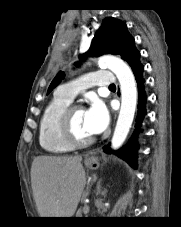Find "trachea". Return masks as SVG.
I'll return each mask as SVG.
<instances>
[{
  "label": "trachea",
  "instance_id": "trachea-1",
  "mask_svg": "<svg viewBox=\"0 0 181 227\" xmlns=\"http://www.w3.org/2000/svg\"><path fill=\"white\" fill-rule=\"evenodd\" d=\"M109 88H116L114 84L110 85Z\"/></svg>",
  "mask_w": 181,
  "mask_h": 227
}]
</instances>
